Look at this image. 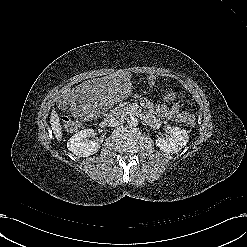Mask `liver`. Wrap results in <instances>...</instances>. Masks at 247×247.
<instances>
[{
  "label": "liver",
  "instance_id": "obj_1",
  "mask_svg": "<svg viewBox=\"0 0 247 247\" xmlns=\"http://www.w3.org/2000/svg\"><path fill=\"white\" fill-rule=\"evenodd\" d=\"M50 124H51V129L53 130V134L56 137L57 141H61L63 133L61 130L60 118L55 110H52L50 117Z\"/></svg>",
  "mask_w": 247,
  "mask_h": 247
}]
</instances>
